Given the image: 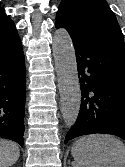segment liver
I'll return each instance as SVG.
<instances>
[{"label":"liver","mask_w":125,"mask_h":167,"mask_svg":"<svg viewBox=\"0 0 125 167\" xmlns=\"http://www.w3.org/2000/svg\"><path fill=\"white\" fill-rule=\"evenodd\" d=\"M20 156L18 144L0 138V167H9L16 163Z\"/></svg>","instance_id":"6515ba94"}]
</instances>
